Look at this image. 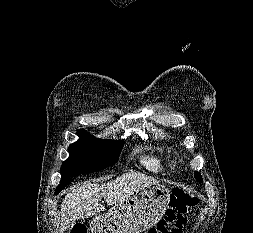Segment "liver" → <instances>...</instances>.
<instances>
[{
	"label": "liver",
	"instance_id": "liver-1",
	"mask_svg": "<svg viewBox=\"0 0 253 233\" xmlns=\"http://www.w3.org/2000/svg\"><path fill=\"white\" fill-rule=\"evenodd\" d=\"M159 182L140 172H129L108 183H85L69 192L61 203L60 233H64L76 220L88 218L105 210L99 201L108 205L127 200L138 190Z\"/></svg>",
	"mask_w": 253,
	"mask_h": 233
}]
</instances>
